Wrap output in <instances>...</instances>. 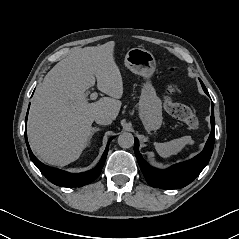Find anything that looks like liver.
<instances>
[{"label": "liver", "mask_w": 239, "mask_h": 239, "mask_svg": "<svg viewBox=\"0 0 239 239\" xmlns=\"http://www.w3.org/2000/svg\"><path fill=\"white\" fill-rule=\"evenodd\" d=\"M115 42L75 49L58 62L37 87L28 118V138L45 163L66 166L86 147L95 116L119 114L122 76L114 58ZM97 80L98 89L110 97L89 103L86 92Z\"/></svg>", "instance_id": "1"}]
</instances>
